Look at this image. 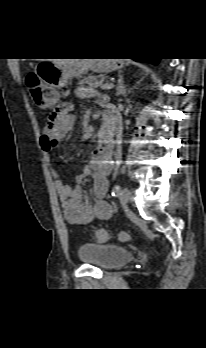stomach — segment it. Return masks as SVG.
Returning <instances> with one entry per match:
<instances>
[{
    "mask_svg": "<svg viewBox=\"0 0 206 348\" xmlns=\"http://www.w3.org/2000/svg\"><path fill=\"white\" fill-rule=\"evenodd\" d=\"M118 59H72L67 62L43 61L40 62L35 72L39 78L53 89L49 94L41 89L35 102L41 109L55 106L59 100L57 89L65 87L73 78H79L89 70L98 73H109L119 69Z\"/></svg>",
    "mask_w": 206,
    "mask_h": 348,
    "instance_id": "obj_1",
    "label": "stomach"
}]
</instances>
